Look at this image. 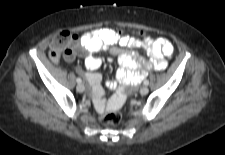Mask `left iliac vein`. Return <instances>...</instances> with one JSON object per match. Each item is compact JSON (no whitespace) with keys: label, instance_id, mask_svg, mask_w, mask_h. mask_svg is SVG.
I'll return each mask as SVG.
<instances>
[{"label":"left iliac vein","instance_id":"4c4485c4","mask_svg":"<svg viewBox=\"0 0 225 155\" xmlns=\"http://www.w3.org/2000/svg\"><path fill=\"white\" fill-rule=\"evenodd\" d=\"M148 92H149V89H148L147 86H143V87L140 88V94L141 95H146V94H148Z\"/></svg>","mask_w":225,"mask_h":155}]
</instances>
